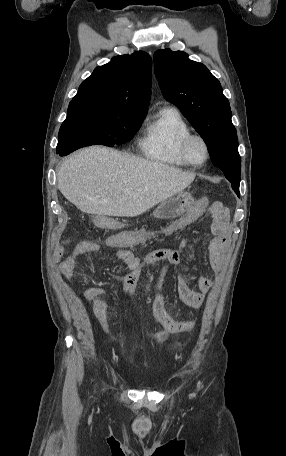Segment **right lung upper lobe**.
<instances>
[{
	"label": "right lung upper lobe",
	"mask_w": 286,
	"mask_h": 456,
	"mask_svg": "<svg viewBox=\"0 0 286 456\" xmlns=\"http://www.w3.org/2000/svg\"><path fill=\"white\" fill-rule=\"evenodd\" d=\"M152 59L142 51L114 57L95 68L80 85L71 102L109 105L132 111H148L151 96Z\"/></svg>",
	"instance_id": "right-lung-upper-lobe-1"
}]
</instances>
